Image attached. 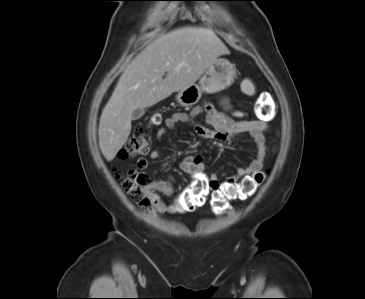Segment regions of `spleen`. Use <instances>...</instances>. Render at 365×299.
I'll return each instance as SVG.
<instances>
[{
	"instance_id": "spleen-1",
	"label": "spleen",
	"mask_w": 365,
	"mask_h": 299,
	"mask_svg": "<svg viewBox=\"0 0 365 299\" xmlns=\"http://www.w3.org/2000/svg\"><path fill=\"white\" fill-rule=\"evenodd\" d=\"M242 87H243L245 93L248 95H253L255 93V87L253 86L251 81L248 79L243 81Z\"/></svg>"
}]
</instances>
